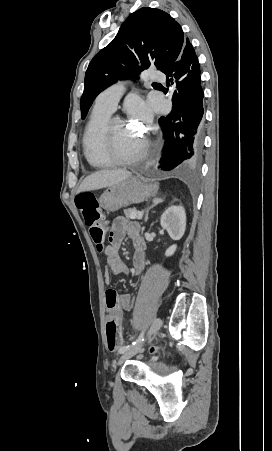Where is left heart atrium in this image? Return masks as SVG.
<instances>
[{
  "label": "left heart atrium",
  "instance_id": "obj_1",
  "mask_svg": "<svg viewBox=\"0 0 272 451\" xmlns=\"http://www.w3.org/2000/svg\"><path fill=\"white\" fill-rule=\"evenodd\" d=\"M128 111L132 118L142 124H150L151 113L148 105L143 101H137L128 105Z\"/></svg>",
  "mask_w": 272,
  "mask_h": 451
}]
</instances>
